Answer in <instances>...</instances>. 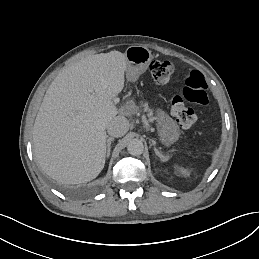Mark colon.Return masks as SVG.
Returning a JSON list of instances; mask_svg holds the SVG:
<instances>
[{"label":"colon","mask_w":259,"mask_h":259,"mask_svg":"<svg viewBox=\"0 0 259 259\" xmlns=\"http://www.w3.org/2000/svg\"><path fill=\"white\" fill-rule=\"evenodd\" d=\"M149 71L153 83L162 86L169 82L173 65L169 61H154ZM188 103L200 105L208 103L207 83L204 75L197 70L190 72L186 78L182 95H176L171 99L172 115L184 129L191 128L197 121V114Z\"/></svg>","instance_id":"colon-1"}]
</instances>
